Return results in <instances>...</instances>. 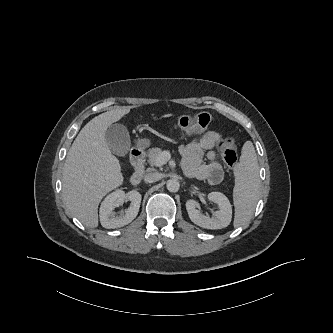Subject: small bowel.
Wrapping results in <instances>:
<instances>
[{"label": "small bowel", "instance_id": "small-bowel-1", "mask_svg": "<svg viewBox=\"0 0 333 333\" xmlns=\"http://www.w3.org/2000/svg\"><path fill=\"white\" fill-rule=\"evenodd\" d=\"M220 138L218 132L207 131L180 146L183 156L182 167L188 176L205 180L212 185L222 181L223 169L218 161L217 153L213 150ZM205 152L207 163H204Z\"/></svg>", "mask_w": 333, "mask_h": 333}]
</instances>
